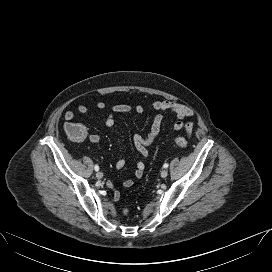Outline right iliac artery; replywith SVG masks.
<instances>
[{
  "label": "right iliac artery",
  "mask_w": 272,
  "mask_h": 272,
  "mask_svg": "<svg viewBox=\"0 0 272 272\" xmlns=\"http://www.w3.org/2000/svg\"><path fill=\"white\" fill-rule=\"evenodd\" d=\"M94 169H95V171H98V170H99V166H98V165H95V166H94Z\"/></svg>",
  "instance_id": "right-iliac-artery-1"
}]
</instances>
